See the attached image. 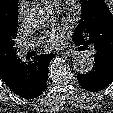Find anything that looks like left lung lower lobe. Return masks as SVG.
<instances>
[{
	"label": "left lung lower lobe",
	"instance_id": "0a47b994",
	"mask_svg": "<svg viewBox=\"0 0 113 113\" xmlns=\"http://www.w3.org/2000/svg\"><path fill=\"white\" fill-rule=\"evenodd\" d=\"M80 50H92L94 53L95 66L86 74H78L77 79L82 88L90 92H98L105 89L113 81V39L107 41L73 40Z\"/></svg>",
	"mask_w": 113,
	"mask_h": 113
}]
</instances>
